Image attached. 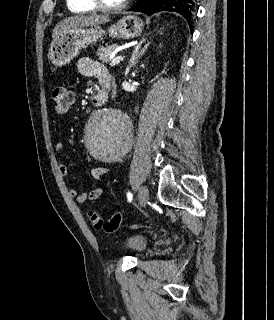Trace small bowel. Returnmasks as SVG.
I'll list each match as a JSON object with an SVG mask.
<instances>
[{
  "label": "small bowel",
  "instance_id": "1",
  "mask_svg": "<svg viewBox=\"0 0 274 320\" xmlns=\"http://www.w3.org/2000/svg\"><path fill=\"white\" fill-rule=\"evenodd\" d=\"M78 71L83 76L96 77L99 80L104 91L109 89L111 85V76L99 62L88 57H82L78 61ZM64 146V141L57 142L55 146L56 153L60 154L64 149ZM57 169L59 174L63 178L68 177V169L63 163H58ZM108 173L109 169L103 166L96 167L91 170V176L95 180H102ZM103 192L104 189L102 187H97L95 189L84 192H79V190L75 187H71L68 189L69 196L74 198L78 203L95 201L102 196Z\"/></svg>",
  "mask_w": 274,
  "mask_h": 320
}]
</instances>
